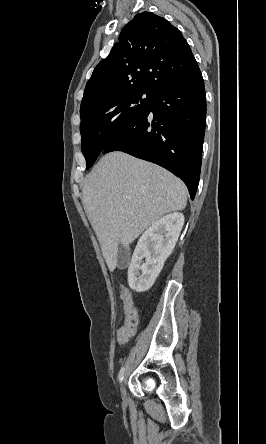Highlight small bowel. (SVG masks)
<instances>
[{"instance_id": "1", "label": "small bowel", "mask_w": 266, "mask_h": 444, "mask_svg": "<svg viewBox=\"0 0 266 444\" xmlns=\"http://www.w3.org/2000/svg\"><path fill=\"white\" fill-rule=\"evenodd\" d=\"M120 298L122 301L124 322L117 331V341L119 344H125L136 334L139 317L129 290L122 287L120 289Z\"/></svg>"}]
</instances>
